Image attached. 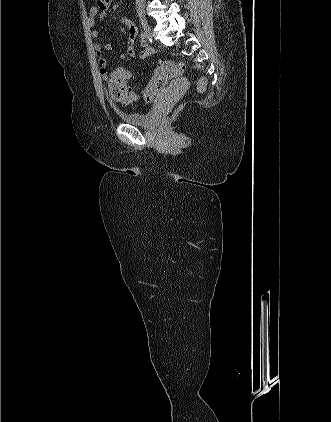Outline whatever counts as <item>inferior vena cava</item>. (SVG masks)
Segmentation results:
<instances>
[{"label":"inferior vena cava","mask_w":331,"mask_h":422,"mask_svg":"<svg viewBox=\"0 0 331 422\" xmlns=\"http://www.w3.org/2000/svg\"><path fill=\"white\" fill-rule=\"evenodd\" d=\"M143 6H144V0H136V7L138 11L143 9Z\"/></svg>","instance_id":"1"}]
</instances>
